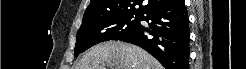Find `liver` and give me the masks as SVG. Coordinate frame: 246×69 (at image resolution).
<instances>
[{
    "instance_id": "1",
    "label": "liver",
    "mask_w": 246,
    "mask_h": 69,
    "mask_svg": "<svg viewBox=\"0 0 246 69\" xmlns=\"http://www.w3.org/2000/svg\"><path fill=\"white\" fill-rule=\"evenodd\" d=\"M162 69L145 50L120 41L104 42L89 49L75 69Z\"/></svg>"
}]
</instances>
